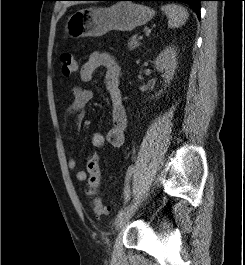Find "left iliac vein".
Instances as JSON below:
<instances>
[{
	"instance_id": "obj_1",
	"label": "left iliac vein",
	"mask_w": 245,
	"mask_h": 265,
	"mask_svg": "<svg viewBox=\"0 0 245 265\" xmlns=\"http://www.w3.org/2000/svg\"><path fill=\"white\" fill-rule=\"evenodd\" d=\"M139 199L134 201L126 210L125 214L121 218H117L115 221V228L116 230H119L126 226L128 221L130 220L131 216L134 214V212L137 209V206L139 204Z\"/></svg>"
}]
</instances>
